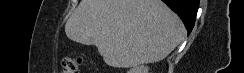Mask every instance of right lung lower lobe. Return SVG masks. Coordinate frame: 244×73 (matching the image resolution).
<instances>
[{
  "label": "right lung lower lobe",
  "mask_w": 244,
  "mask_h": 73,
  "mask_svg": "<svg viewBox=\"0 0 244 73\" xmlns=\"http://www.w3.org/2000/svg\"><path fill=\"white\" fill-rule=\"evenodd\" d=\"M182 19L188 34L191 33L199 6V0H162Z\"/></svg>",
  "instance_id": "1"
}]
</instances>
